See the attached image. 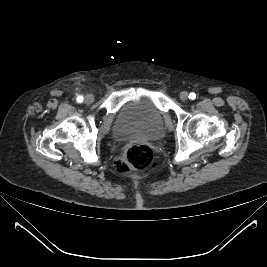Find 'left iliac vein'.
I'll list each match as a JSON object with an SVG mask.
<instances>
[{
    "label": "left iliac vein",
    "instance_id": "left-iliac-vein-1",
    "mask_svg": "<svg viewBox=\"0 0 267 267\" xmlns=\"http://www.w3.org/2000/svg\"><path fill=\"white\" fill-rule=\"evenodd\" d=\"M188 98H189V95H188L187 92L183 91V92L180 93V99H181L183 102L187 101Z\"/></svg>",
    "mask_w": 267,
    "mask_h": 267
}]
</instances>
